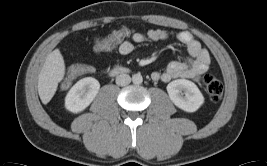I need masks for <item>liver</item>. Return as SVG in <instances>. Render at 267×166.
I'll use <instances>...</instances> for the list:
<instances>
[{
  "mask_svg": "<svg viewBox=\"0 0 267 166\" xmlns=\"http://www.w3.org/2000/svg\"><path fill=\"white\" fill-rule=\"evenodd\" d=\"M64 75L63 56L59 49H55L47 56L38 76V94L43 104H47L52 99Z\"/></svg>",
  "mask_w": 267,
  "mask_h": 166,
  "instance_id": "1",
  "label": "liver"
}]
</instances>
